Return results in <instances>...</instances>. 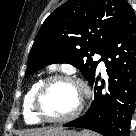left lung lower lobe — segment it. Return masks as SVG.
Here are the masks:
<instances>
[{
	"mask_svg": "<svg viewBox=\"0 0 136 136\" xmlns=\"http://www.w3.org/2000/svg\"><path fill=\"white\" fill-rule=\"evenodd\" d=\"M102 59L108 83L97 86L96 74L89 80L94 100L84 116L64 124L93 130L103 136H129L136 102V17L130 8L104 48Z\"/></svg>",
	"mask_w": 136,
	"mask_h": 136,
	"instance_id": "obj_1",
	"label": "left lung lower lobe"
}]
</instances>
